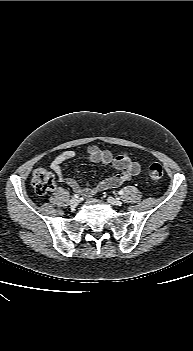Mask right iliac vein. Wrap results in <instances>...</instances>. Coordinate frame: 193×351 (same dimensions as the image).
<instances>
[{"label": "right iliac vein", "instance_id": "1", "mask_svg": "<svg viewBox=\"0 0 193 351\" xmlns=\"http://www.w3.org/2000/svg\"><path fill=\"white\" fill-rule=\"evenodd\" d=\"M78 204H79V201L77 199L73 198L70 200L71 208H73V209L76 208L78 206Z\"/></svg>", "mask_w": 193, "mask_h": 351}]
</instances>
